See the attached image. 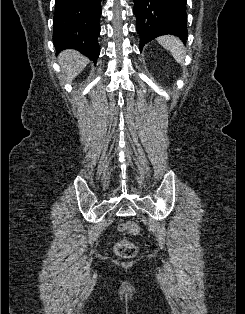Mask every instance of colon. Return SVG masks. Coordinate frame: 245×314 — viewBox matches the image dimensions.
Returning <instances> with one entry per match:
<instances>
[{
    "label": "colon",
    "instance_id": "obj_1",
    "mask_svg": "<svg viewBox=\"0 0 245 314\" xmlns=\"http://www.w3.org/2000/svg\"><path fill=\"white\" fill-rule=\"evenodd\" d=\"M120 230L136 235L140 231L139 225L134 221H126L120 225ZM114 251L121 258H133L136 255V246L125 239L117 240L114 243Z\"/></svg>",
    "mask_w": 245,
    "mask_h": 314
}]
</instances>
